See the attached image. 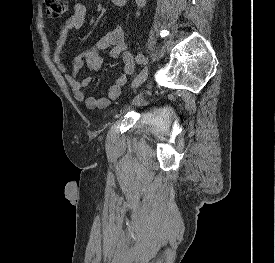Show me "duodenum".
Wrapping results in <instances>:
<instances>
[{
	"mask_svg": "<svg viewBox=\"0 0 275 263\" xmlns=\"http://www.w3.org/2000/svg\"><path fill=\"white\" fill-rule=\"evenodd\" d=\"M127 0H112L113 4L116 6H123L125 5Z\"/></svg>",
	"mask_w": 275,
	"mask_h": 263,
	"instance_id": "obj_1",
	"label": "duodenum"
}]
</instances>
